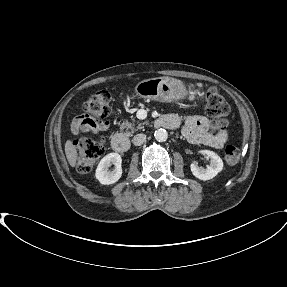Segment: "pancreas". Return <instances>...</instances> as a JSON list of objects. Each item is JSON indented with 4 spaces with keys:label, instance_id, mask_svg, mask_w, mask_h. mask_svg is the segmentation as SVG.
I'll use <instances>...</instances> for the list:
<instances>
[{
    "label": "pancreas",
    "instance_id": "cf45deb5",
    "mask_svg": "<svg viewBox=\"0 0 287 287\" xmlns=\"http://www.w3.org/2000/svg\"><path fill=\"white\" fill-rule=\"evenodd\" d=\"M143 124L144 123H140L137 127H135L133 123H130V122L126 121V122H123L121 124V129L122 130L126 129V133L125 134L127 136H131L136 130L143 129V126H142Z\"/></svg>",
    "mask_w": 287,
    "mask_h": 287
}]
</instances>
